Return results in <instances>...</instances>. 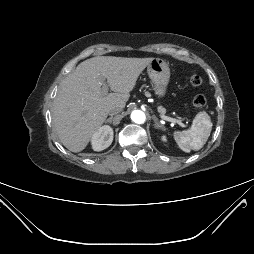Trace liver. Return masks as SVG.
Segmentation results:
<instances>
[{"label": "liver", "mask_w": 254, "mask_h": 254, "mask_svg": "<svg viewBox=\"0 0 254 254\" xmlns=\"http://www.w3.org/2000/svg\"><path fill=\"white\" fill-rule=\"evenodd\" d=\"M153 58L97 56L81 62L61 83L53 104V124L60 142L82 151L114 106L125 107L141 72ZM106 81L113 91L102 95Z\"/></svg>", "instance_id": "6515ba94"}]
</instances>
